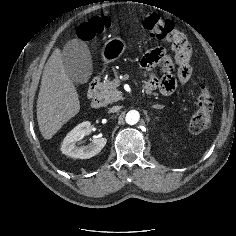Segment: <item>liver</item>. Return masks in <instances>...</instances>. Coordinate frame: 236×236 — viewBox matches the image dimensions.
Returning a JSON list of instances; mask_svg holds the SVG:
<instances>
[{"label": "liver", "mask_w": 236, "mask_h": 236, "mask_svg": "<svg viewBox=\"0 0 236 236\" xmlns=\"http://www.w3.org/2000/svg\"><path fill=\"white\" fill-rule=\"evenodd\" d=\"M36 110L39 130L46 140L80 111L78 93L65 72L58 48L44 67Z\"/></svg>", "instance_id": "obj_1"}]
</instances>
